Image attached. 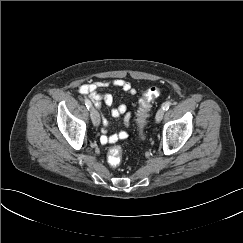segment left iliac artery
<instances>
[{"mask_svg": "<svg viewBox=\"0 0 243 243\" xmlns=\"http://www.w3.org/2000/svg\"><path fill=\"white\" fill-rule=\"evenodd\" d=\"M170 105H171L170 102H165V103L163 104V107H162V108H163L165 111H167V110L169 109Z\"/></svg>", "mask_w": 243, "mask_h": 243, "instance_id": "1", "label": "left iliac artery"}]
</instances>
